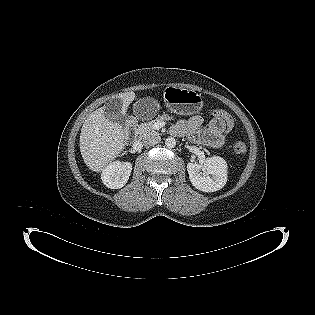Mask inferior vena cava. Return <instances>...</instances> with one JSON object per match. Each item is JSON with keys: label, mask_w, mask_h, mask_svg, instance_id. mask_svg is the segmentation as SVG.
Here are the masks:
<instances>
[{"label": "inferior vena cava", "mask_w": 315, "mask_h": 315, "mask_svg": "<svg viewBox=\"0 0 315 315\" xmlns=\"http://www.w3.org/2000/svg\"><path fill=\"white\" fill-rule=\"evenodd\" d=\"M160 141L161 137L159 136V134H150L143 138L142 143L145 146H152L159 143Z\"/></svg>", "instance_id": "602c4592"}]
</instances>
